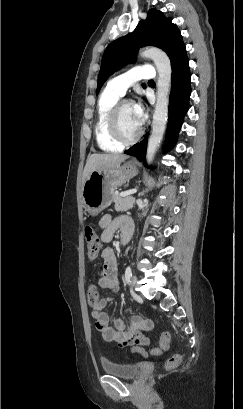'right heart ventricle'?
Instances as JSON below:
<instances>
[{
  "instance_id": "right-heart-ventricle-1",
  "label": "right heart ventricle",
  "mask_w": 243,
  "mask_h": 409,
  "mask_svg": "<svg viewBox=\"0 0 243 409\" xmlns=\"http://www.w3.org/2000/svg\"><path fill=\"white\" fill-rule=\"evenodd\" d=\"M120 97L105 88L98 101V114L94 132L97 145L104 152H118L122 149V145L117 143L110 135L108 127L109 115Z\"/></svg>"
}]
</instances>
